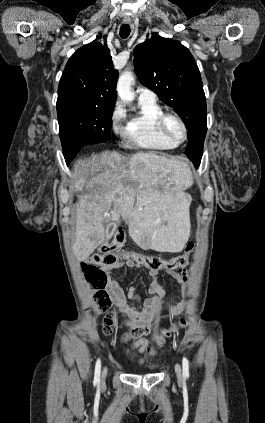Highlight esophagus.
I'll return each instance as SVG.
<instances>
[{
  "mask_svg": "<svg viewBox=\"0 0 265 423\" xmlns=\"http://www.w3.org/2000/svg\"><path fill=\"white\" fill-rule=\"evenodd\" d=\"M130 22H131V19L129 17H125L123 19V23H125V24H129Z\"/></svg>",
  "mask_w": 265,
  "mask_h": 423,
  "instance_id": "34e87169",
  "label": "esophagus"
}]
</instances>
